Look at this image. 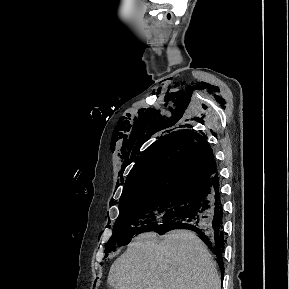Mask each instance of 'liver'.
I'll return each mask as SVG.
<instances>
[{
    "instance_id": "1",
    "label": "liver",
    "mask_w": 289,
    "mask_h": 289,
    "mask_svg": "<svg viewBox=\"0 0 289 289\" xmlns=\"http://www.w3.org/2000/svg\"><path fill=\"white\" fill-rule=\"evenodd\" d=\"M112 289H221L216 263L192 231L174 230L159 241L147 232L110 267Z\"/></svg>"
}]
</instances>
